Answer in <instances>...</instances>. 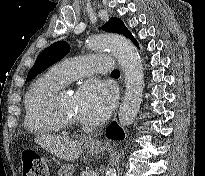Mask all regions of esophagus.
Returning <instances> with one entry per match:
<instances>
[{"instance_id": "obj_1", "label": "esophagus", "mask_w": 205, "mask_h": 176, "mask_svg": "<svg viewBox=\"0 0 205 176\" xmlns=\"http://www.w3.org/2000/svg\"><path fill=\"white\" fill-rule=\"evenodd\" d=\"M91 144H92V145H97V146L99 145L98 142H92Z\"/></svg>"}]
</instances>
